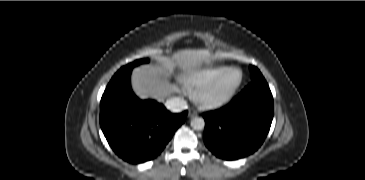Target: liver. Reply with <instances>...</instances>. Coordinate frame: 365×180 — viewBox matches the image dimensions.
<instances>
[{
  "label": "liver",
  "instance_id": "obj_1",
  "mask_svg": "<svg viewBox=\"0 0 365 180\" xmlns=\"http://www.w3.org/2000/svg\"><path fill=\"white\" fill-rule=\"evenodd\" d=\"M211 53L206 49H184L172 56L162 57L161 66L144 65L137 67L132 73V87L142 99L153 98L163 101L178 88L169 82L170 71L178 67L184 73L197 71L203 63L211 61Z\"/></svg>",
  "mask_w": 365,
  "mask_h": 180
}]
</instances>
